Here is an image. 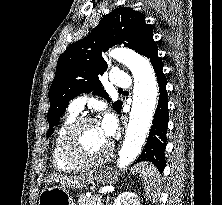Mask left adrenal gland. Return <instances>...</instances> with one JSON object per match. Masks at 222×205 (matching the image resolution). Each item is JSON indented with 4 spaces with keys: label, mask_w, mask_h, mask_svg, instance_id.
<instances>
[{
    "label": "left adrenal gland",
    "mask_w": 222,
    "mask_h": 205,
    "mask_svg": "<svg viewBox=\"0 0 222 205\" xmlns=\"http://www.w3.org/2000/svg\"><path fill=\"white\" fill-rule=\"evenodd\" d=\"M109 200H110V197H107V199H106V204L109 202Z\"/></svg>",
    "instance_id": "a2214340"
}]
</instances>
